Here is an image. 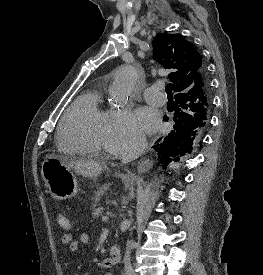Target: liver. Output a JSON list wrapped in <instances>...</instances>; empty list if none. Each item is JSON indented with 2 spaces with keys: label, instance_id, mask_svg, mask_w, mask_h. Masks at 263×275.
<instances>
[{
  "label": "liver",
  "instance_id": "6515ba94",
  "mask_svg": "<svg viewBox=\"0 0 263 275\" xmlns=\"http://www.w3.org/2000/svg\"><path fill=\"white\" fill-rule=\"evenodd\" d=\"M51 156L61 159L68 168L73 169L77 174L82 175L83 177H86V178L95 179L103 171V166L98 161H94V160L67 161L63 157H59L56 155H51Z\"/></svg>",
  "mask_w": 263,
  "mask_h": 275
}]
</instances>
